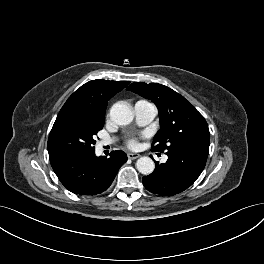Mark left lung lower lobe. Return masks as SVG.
Listing matches in <instances>:
<instances>
[{"label":"left lung lower lobe","instance_id":"0a47b994","mask_svg":"<svg viewBox=\"0 0 264 264\" xmlns=\"http://www.w3.org/2000/svg\"><path fill=\"white\" fill-rule=\"evenodd\" d=\"M166 154L167 162H155V170L143 177L142 182L154 194L172 196L196 181L205 167L208 154L189 147H178Z\"/></svg>","mask_w":264,"mask_h":264}]
</instances>
